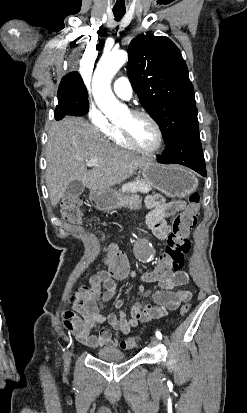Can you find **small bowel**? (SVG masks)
Returning <instances> with one entry per match:
<instances>
[{"mask_svg":"<svg viewBox=\"0 0 247 413\" xmlns=\"http://www.w3.org/2000/svg\"><path fill=\"white\" fill-rule=\"evenodd\" d=\"M146 206L150 210L146 217L147 225L153 232L165 238L171 232L166 218L186 209V203L178 200L167 202L162 195L155 194L146 198ZM174 277H158L160 290L150 293L139 286L140 294L149 296L154 305L141 306L135 302L130 308V314L123 311L124 301L118 299L113 307L116 312H106L105 305L117 290L116 283H123V274L111 277L109 270H99L87 278V285L81 284L69 298L74 311H65L61 315L64 330L89 347H114L120 335H127L139 323L164 317L175 310L180 303L191 299L192 294L182 286L188 282L186 272L174 271ZM144 283V282H143ZM75 313L79 314L77 316ZM105 326L114 330V335ZM101 329L98 335L93 330Z\"/></svg>","mask_w":247,"mask_h":413,"instance_id":"small-bowel-1","label":"small bowel"}]
</instances>
